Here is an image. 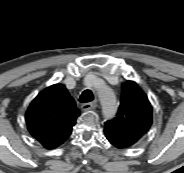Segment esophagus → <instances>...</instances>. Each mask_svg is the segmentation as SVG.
<instances>
[{"instance_id":"obj_1","label":"esophagus","mask_w":184,"mask_h":173,"mask_svg":"<svg viewBox=\"0 0 184 173\" xmlns=\"http://www.w3.org/2000/svg\"><path fill=\"white\" fill-rule=\"evenodd\" d=\"M97 107V103L96 102H88V103H84L82 104L81 108L83 111H88V110H93Z\"/></svg>"}]
</instances>
